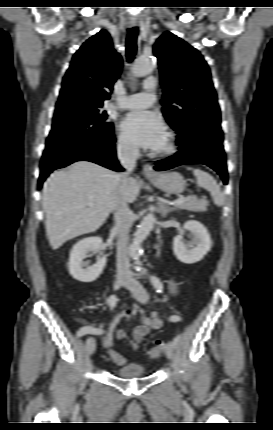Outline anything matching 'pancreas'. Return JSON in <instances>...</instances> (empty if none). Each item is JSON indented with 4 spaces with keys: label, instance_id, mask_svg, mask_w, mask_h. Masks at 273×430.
Listing matches in <instances>:
<instances>
[{
    "label": "pancreas",
    "instance_id": "cf45deb5",
    "mask_svg": "<svg viewBox=\"0 0 273 430\" xmlns=\"http://www.w3.org/2000/svg\"><path fill=\"white\" fill-rule=\"evenodd\" d=\"M207 204L208 202L206 200H198L197 198H188V199H185L181 204L176 205L175 208L181 209V210H188L192 212H205L207 210Z\"/></svg>",
    "mask_w": 273,
    "mask_h": 430
}]
</instances>
